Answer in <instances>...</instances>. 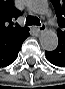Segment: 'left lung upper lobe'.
Masks as SVG:
<instances>
[{"label": "left lung upper lobe", "mask_w": 65, "mask_h": 89, "mask_svg": "<svg viewBox=\"0 0 65 89\" xmlns=\"http://www.w3.org/2000/svg\"><path fill=\"white\" fill-rule=\"evenodd\" d=\"M54 5L60 29L57 30L58 36H65V0H51Z\"/></svg>", "instance_id": "1"}]
</instances>
